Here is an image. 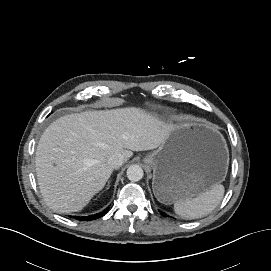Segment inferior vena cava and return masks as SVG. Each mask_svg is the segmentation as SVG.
Returning <instances> with one entry per match:
<instances>
[{
    "label": "inferior vena cava",
    "instance_id": "1",
    "mask_svg": "<svg viewBox=\"0 0 271 271\" xmlns=\"http://www.w3.org/2000/svg\"><path fill=\"white\" fill-rule=\"evenodd\" d=\"M124 162V156L121 154H115L112 155L109 159H108V164L112 167V168H119Z\"/></svg>",
    "mask_w": 271,
    "mask_h": 271
}]
</instances>
